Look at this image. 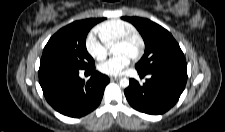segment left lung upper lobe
I'll return each instance as SVG.
<instances>
[{"instance_id": "1", "label": "left lung upper lobe", "mask_w": 225, "mask_h": 132, "mask_svg": "<svg viewBox=\"0 0 225 132\" xmlns=\"http://www.w3.org/2000/svg\"><path fill=\"white\" fill-rule=\"evenodd\" d=\"M122 19L132 23L145 42V54L135 65L137 71L148 73L158 68H186L184 54L170 32L145 18Z\"/></svg>"}]
</instances>
